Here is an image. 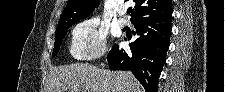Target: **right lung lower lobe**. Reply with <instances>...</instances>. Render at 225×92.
I'll list each match as a JSON object with an SVG mask.
<instances>
[{
    "label": "right lung lower lobe",
    "mask_w": 225,
    "mask_h": 92,
    "mask_svg": "<svg viewBox=\"0 0 225 92\" xmlns=\"http://www.w3.org/2000/svg\"><path fill=\"white\" fill-rule=\"evenodd\" d=\"M171 14L143 18L132 23L138 38L130 44L128 51L113 45L107 56L110 70H129L146 92H157L160 73L170 45Z\"/></svg>",
    "instance_id": "1"
}]
</instances>
